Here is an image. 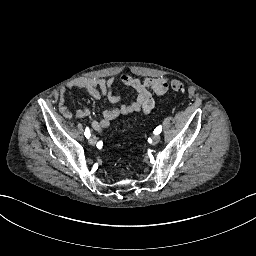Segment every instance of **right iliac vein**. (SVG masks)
Instances as JSON below:
<instances>
[{
    "label": "right iliac vein",
    "instance_id": "right-iliac-vein-1",
    "mask_svg": "<svg viewBox=\"0 0 256 256\" xmlns=\"http://www.w3.org/2000/svg\"><path fill=\"white\" fill-rule=\"evenodd\" d=\"M97 143V138L95 135H91L89 138V144L90 145H95Z\"/></svg>",
    "mask_w": 256,
    "mask_h": 256
}]
</instances>
